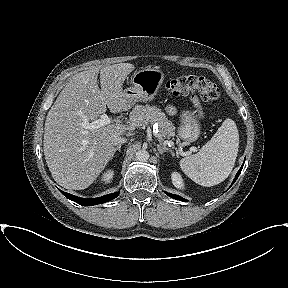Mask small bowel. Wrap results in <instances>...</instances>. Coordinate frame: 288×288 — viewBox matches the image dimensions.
Instances as JSON below:
<instances>
[{
    "label": "small bowel",
    "instance_id": "obj_1",
    "mask_svg": "<svg viewBox=\"0 0 288 288\" xmlns=\"http://www.w3.org/2000/svg\"><path fill=\"white\" fill-rule=\"evenodd\" d=\"M193 103H194L195 107H198L199 104H198V101L196 99H193ZM167 112L170 113V114H175L176 110H175L174 107L168 106L167 107Z\"/></svg>",
    "mask_w": 288,
    "mask_h": 288
}]
</instances>
